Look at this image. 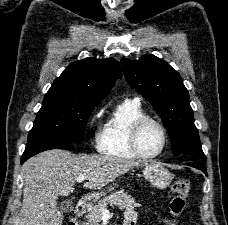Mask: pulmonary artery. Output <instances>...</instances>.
Listing matches in <instances>:
<instances>
[{
  "mask_svg": "<svg viewBox=\"0 0 228 225\" xmlns=\"http://www.w3.org/2000/svg\"><path fill=\"white\" fill-rule=\"evenodd\" d=\"M131 100L140 103V98H139V97H134V98H132Z\"/></svg>",
  "mask_w": 228,
  "mask_h": 225,
  "instance_id": "obj_1",
  "label": "pulmonary artery"
}]
</instances>
